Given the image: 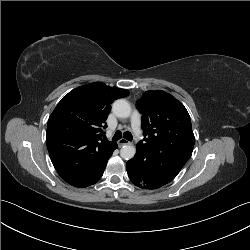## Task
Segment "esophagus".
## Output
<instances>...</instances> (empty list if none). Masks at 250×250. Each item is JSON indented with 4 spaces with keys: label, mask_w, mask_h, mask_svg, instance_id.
I'll return each mask as SVG.
<instances>
[{
    "label": "esophagus",
    "mask_w": 250,
    "mask_h": 250,
    "mask_svg": "<svg viewBox=\"0 0 250 250\" xmlns=\"http://www.w3.org/2000/svg\"><path fill=\"white\" fill-rule=\"evenodd\" d=\"M129 143H130V142H129L128 140L122 138V139H120V140L118 141V146H119V147H122V146H124V145L129 144Z\"/></svg>",
    "instance_id": "obj_1"
}]
</instances>
